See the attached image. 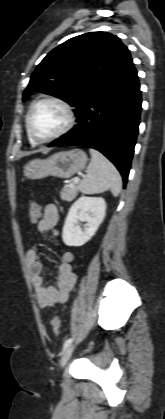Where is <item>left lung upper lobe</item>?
Segmentation results:
<instances>
[{"label":"left lung upper lobe","mask_w":165,"mask_h":419,"mask_svg":"<svg viewBox=\"0 0 165 419\" xmlns=\"http://www.w3.org/2000/svg\"><path fill=\"white\" fill-rule=\"evenodd\" d=\"M132 59L120 39L106 32H90L59 45L41 61L23 94L33 91L61 98L76 107L96 95Z\"/></svg>","instance_id":"5c2ea615"}]
</instances>
